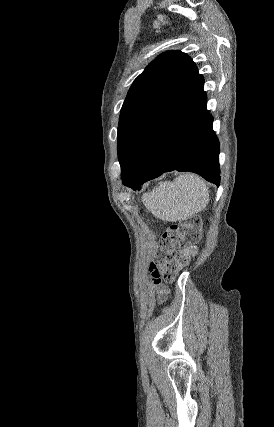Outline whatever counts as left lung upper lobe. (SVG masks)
Instances as JSON below:
<instances>
[{
    "label": "left lung upper lobe",
    "mask_w": 274,
    "mask_h": 427,
    "mask_svg": "<svg viewBox=\"0 0 274 427\" xmlns=\"http://www.w3.org/2000/svg\"><path fill=\"white\" fill-rule=\"evenodd\" d=\"M197 75L195 63L188 55L168 51L159 55L135 79L119 118L121 176L132 168L151 126Z\"/></svg>",
    "instance_id": "5c2ea615"
}]
</instances>
